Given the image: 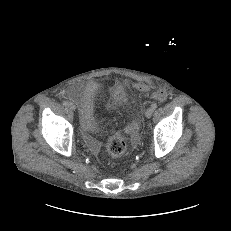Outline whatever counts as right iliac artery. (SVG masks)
Wrapping results in <instances>:
<instances>
[{
	"label": "right iliac artery",
	"mask_w": 231,
	"mask_h": 231,
	"mask_svg": "<svg viewBox=\"0 0 231 231\" xmlns=\"http://www.w3.org/2000/svg\"><path fill=\"white\" fill-rule=\"evenodd\" d=\"M63 105H64V106H67V105H68V102H67V101H63Z\"/></svg>",
	"instance_id": "82829eb1"
}]
</instances>
